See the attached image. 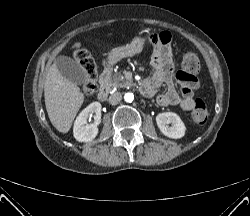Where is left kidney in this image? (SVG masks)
<instances>
[{
  "label": "left kidney",
  "instance_id": "5707ae66",
  "mask_svg": "<svg viewBox=\"0 0 250 216\" xmlns=\"http://www.w3.org/2000/svg\"><path fill=\"white\" fill-rule=\"evenodd\" d=\"M156 123L161 133L171 139H180L185 135V124L176 113H160L156 116ZM170 123L171 126H168Z\"/></svg>",
  "mask_w": 250,
  "mask_h": 216
}]
</instances>
